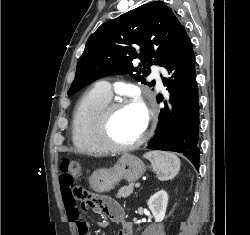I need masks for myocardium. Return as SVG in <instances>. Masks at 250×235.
I'll list each match as a JSON object with an SVG mask.
<instances>
[{"mask_svg":"<svg viewBox=\"0 0 250 235\" xmlns=\"http://www.w3.org/2000/svg\"><path fill=\"white\" fill-rule=\"evenodd\" d=\"M132 106V104L127 100H114L108 102L102 110L99 112L96 125H95V135L98 142L104 146L108 151L113 152H125L133 150L139 147L146 139L147 132L146 128L143 129L141 135L133 142L127 144L116 143L110 136V123L113 115L119 109ZM149 120V115L147 121Z\"/></svg>","mask_w":250,"mask_h":235,"instance_id":"f54148a6","label":"myocardium"}]
</instances>
